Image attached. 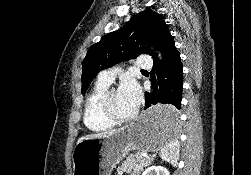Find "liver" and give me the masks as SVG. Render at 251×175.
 Returning a JSON list of instances; mask_svg holds the SVG:
<instances>
[{
  "mask_svg": "<svg viewBox=\"0 0 251 175\" xmlns=\"http://www.w3.org/2000/svg\"><path fill=\"white\" fill-rule=\"evenodd\" d=\"M120 129H122V127H120ZM115 131H119V129H114V131H102V133H90V135H82V137H79L77 143H80L83 139H88V137H108V135H112Z\"/></svg>",
  "mask_w": 251,
  "mask_h": 175,
  "instance_id": "1",
  "label": "liver"
}]
</instances>
